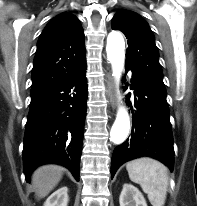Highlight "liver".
<instances>
[{
  "instance_id": "1",
  "label": "liver",
  "mask_w": 197,
  "mask_h": 206,
  "mask_svg": "<svg viewBox=\"0 0 197 206\" xmlns=\"http://www.w3.org/2000/svg\"><path fill=\"white\" fill-rule=\"evenodd\" d=\"M63 168L57 165H44L32 175V185L37 199L46 197L62 178Z\"/></svg>"
}]
</instances>
